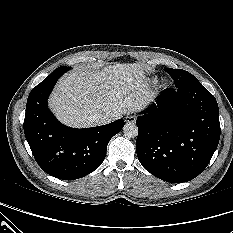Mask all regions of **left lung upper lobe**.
Wrapping results in <instances>:
<instances>
[{
  "label": "left lung upper lobe",
  "instance_id": "left-lung-upper-lobe-1",
  "mask_svg": "<svg viewBox=\"0 0 233 233\" xmlns=\"http://www.w3.org/2000/svg\"><path fill=\"white\" fill-rule=\"evenodd\" d=\"M164 70L174 79L177 88L188 84L200 83L195 76L185 70L171 68H165Z\"/></svg>",
  "mask_w": 233,
  "mask_h": 233
}]
</instances>
